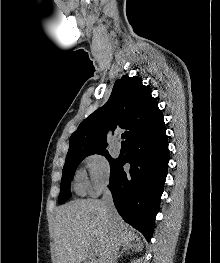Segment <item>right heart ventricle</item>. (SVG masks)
Masks as SVG:
<instances>
[{
	"label": "right heart ventricle",
	"instance_id": "e07e8e85",
	"mask_svg": "<svg viewBox=\"0 0 220 263\" xmlns=\"http://www.w3.org/2000/svg\"><path fill=\"white\" fill-rule=\"evenodd\" d=\"M74 189L78 194H84L87 185H86V179L84 178L82 173H78L75 180H74Z\"/></svg>",
	"mask_w": 220,
	"mask_h": 263
}]
</instances>
